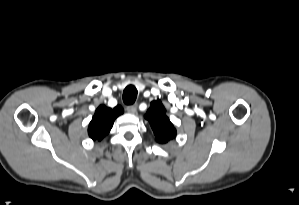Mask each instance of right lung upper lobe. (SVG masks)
Returning <instances> with one entry per match:
<instances>
[{"label":"right lung upper lobe","mask_w":299,"mask_h":205,"mask_svg":"<svg viewBox=\"0 0 299 205\" xmlns=\"http://www.w3.org/2000/svg\"><path fill=\"white\" fill-rule=\"evenodd\" d=\"M121 113H123V109L120 106L114 109L103 105L99 106L89 124L88 134L90 138L101 141L109 133L114 120Z\"/></svg>","instance_id":"obj_1"}]
</instances>
